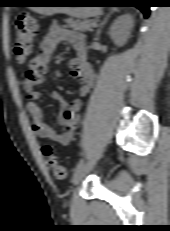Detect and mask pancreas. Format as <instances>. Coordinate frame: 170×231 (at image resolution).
<instances>
[{
    "label": "pancreas",
    "mask_w": 170,
    "mask_h": 231,
    "mask_svg": "<svg viewBox=\"0 0 170 231\" xmlns=\"http://www.w3.org/2000/svg\"><path fill=\"white\" fill-rule=\"evenodd\" d=\"M65 22L67 25L65 27L72 28L77 31H91L93 27L94 20H74L73 18L66 19Z\"/></svg>",
    "instance_id": "1"
}]
</instances>
